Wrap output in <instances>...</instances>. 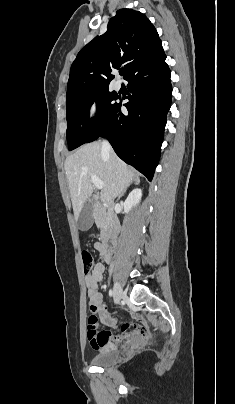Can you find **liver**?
Returning <instances> with one entry per match:
<instances>
[{"label": "liver", "mask_w": 235, "mask_h": 404, "mask_svg": "<svg viewBox=\"0 0 235 404\" xmlns=\"http://www.w3.org/2000/svg\"><path fill=\"white\" fill-rule=\"evenodd\" d=\"M64 169L76 219L93 193V175L104 183L100 195H95L94 198L106 203L120 196L137 178L133 170L112 150L103 151L100 141L85 144L69 155Z\"/></svg>", "instance_id": "liver-1"}]
</instances>
